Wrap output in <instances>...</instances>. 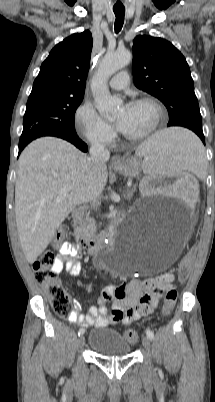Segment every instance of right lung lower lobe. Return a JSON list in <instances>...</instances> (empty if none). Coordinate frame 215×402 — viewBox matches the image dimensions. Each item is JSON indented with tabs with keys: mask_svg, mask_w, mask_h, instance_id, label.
Segmentation results:
<instances>
[{
	"mask_svg": "<svg viewBox=\"0 0 215 402\" xmlns=\"http://www.w3.org/2000/svg\"><path fill=\"white\" fill-rule=\"evenodd\" d=\"M56 137H59V138H62V139H65V140L71 142L72 144H74L77 148H79L83 152H86L88 150L87 145L82 140L79 139V137L77 136L76 133L63 134V135L56 136ZM25 146L26 145H22V146L19 145V154Z\"/></svg>",
	"mask_w": 215,
	"mask_h": 402,
	"instance_id": "obj_1",
	"label": "right lung lower lobe"
}]
</instances>
